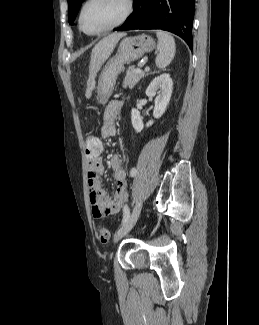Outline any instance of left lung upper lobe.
I'll list each match as a JSON object with an SVG mask.
<instances>
[{
    "mask_svg": "<svg viewBox=\"0 0 259 325\" xmlns=\"http://www.w3.org/2000/svg\"><path fill=\"white\" fill-rule=\"evenodd\" d=\"M84 0H68L69 4V23L73 24L75 17L78 13V10Z\"/></svg>",
    "mask_w": 259,
    "mask_h": 325,
    "instance_id": "5c2ea615",
    "label": "left lung upper lobe"
}]
</instances>
